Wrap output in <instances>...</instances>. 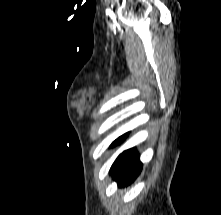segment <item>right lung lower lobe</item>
Masks as SVG:
<instances>
[{
	"instance_id": "98d812e1",
	"label": "right lung lower lobe",
	"mask_w": 221,
	"mask_h": 215,
	"mask_svg": "<svg viewBox=\"0 0 221 215\" xmlns=\"http://www.w3.org/2000/svg\"><path fill=\"white\" fill-rule=\"evenodd\" d=\"M127 134L116 139L112 146L123 141ZM142 169V163L139 160V155L135 148L124 151L118 156L111 167V175L117 181L119 187L128 186L139 175Z\"/></svg>"
}]
</instances>
